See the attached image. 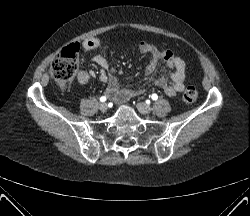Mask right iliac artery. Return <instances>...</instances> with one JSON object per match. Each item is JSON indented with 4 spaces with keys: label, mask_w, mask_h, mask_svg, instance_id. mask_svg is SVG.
Here are the masks:
<instances>
[{
    "label": "right iliac artery",
    "mask_w": 250,
    "mask_h": 216,
    "mask_svg": "<svg viewBox=\"0 0 250 216\" xmlns=\"http://www.w3.org/2000/svg\"><path fill=\"white\" fill-rule=\"evenodd\" d=\"M100 101H101V102H105V101H106V97H105V96H102V97L100 98Z\"/></svg>",
    "instance_id": "82829eb1"
}]
</instances>
